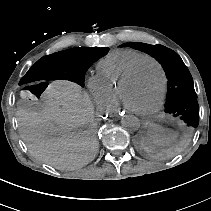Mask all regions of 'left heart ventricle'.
Segmentation results:
<instances>
[{
    "label": "left heart ventricle",
    "instance_id": "obj_1",
    "mask_svg": "<svg viewBox=\"0 0 211 211\" xmlns=\"http://www.w3.org/2000/svg\"><path fill=\"white\" fill-rule=\"evenodd\" d=\"M161 74L153 62H145L130 80L126 92V104L136 110H148L159 100Z\"/></svg>",
    "mask_w": 211,
    "mask_h": 211
}]
</instances>
